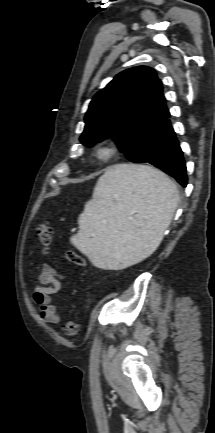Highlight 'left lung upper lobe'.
Returning <instances> with one entry per match:
<instances>
[{"mask_svg": "<svg viewBox=\"0 0 215 433\" xmlns=\"http://www.w3.org/2000/svg\"><path fill=\"white\" fill-rule=\"evenodd\" d=\"M165 102L153 69L125 70L94 96L80 140L92 147L113 137L130 161L155 166L171 126Z\"/></svg>", "mask_w": 215, "mask_h": 433, "instance_id": "1", "label": "left lung upper lobe"}]
</instances>
